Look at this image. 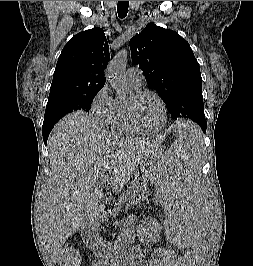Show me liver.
<instances>
[{"label":"liver","instance_id":"6515ba94","mask_svg":"<svg viewBox=\"0 0 253 266\" xmlns=\"http://www.w3.org/2000/svg\"><path fill=\"white\" fill-rule=\"evenodd\" d=\"M162 142V137L109 133L83 111L57 122L47 142L50 172L40 203V227L54 261L68 237L106 215L100 181L106 177L113 193H121L144 157Z\"/></svg>","mask_w":253,"mask_h":266}]
</instances>
